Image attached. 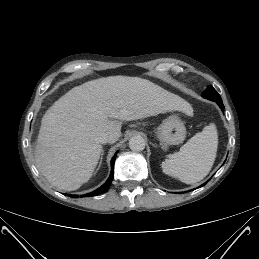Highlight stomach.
<instances>
[{
  "label": "stomach",
  "instance_id": "obj_1",
  "mask_svg": "<svg viewBox=\"0 0 259 259\" xmlns=\"http://www.w3.org/2000/svg\"><path fill=\"white\" fill-rule=\"evenodd\" d=\"M155 136L166 150L170 145H178L185 140L186 128L178 115L174 114L162 122L156 129Z\"/></svg>",
  "mask_w": 259,
  "mask_h": 259
}]
</instances>
